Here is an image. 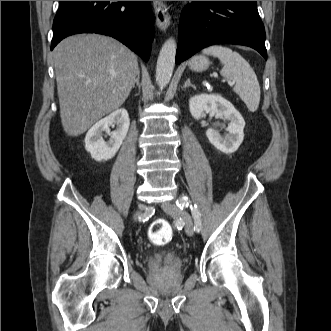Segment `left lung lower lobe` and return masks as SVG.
Instances as JSON below:
<instances>
[{
  "mask_svg": "<svg viewBox=\"0 0 331 331\" xmlns=\"http://www.w3.org/2000/svg\"><path fill=\"white\" fill-rule=\"evenodd\" d=\"M245 45L266 60L265 29L256 1H192L181 13L176 63L214 44Z\"/></svg>",
  "mask_w": 331,
  "mask_h": 331,
  "instance_id": "0a47b994",
  "label": "left lung lower lobe"
}]
</instances>
